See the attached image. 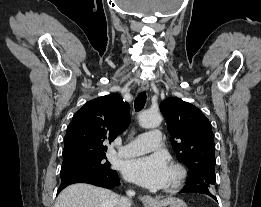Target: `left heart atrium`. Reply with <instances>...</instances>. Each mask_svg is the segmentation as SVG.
I'll use <instances>...</instances> for the list:
<instances>
[{
    "instance_id": "1",
    "label": "left heart atrium",
    "mask_w": 261,
    "mask_h": 207,
    "mask_svg": "<svg viewBox=\"0 0 261 207\" xmlns=\"http://www.w3.org/2000/svg\"><path fill=\"white\" fill-rule=\"evenodd\" d=\"M168 169L162 154H152L126 161L123 173L126 179L141 186L161 188L165 185Z\"/></svg>"
}]
</instances>
